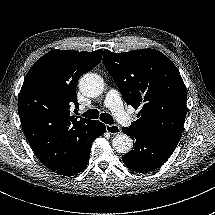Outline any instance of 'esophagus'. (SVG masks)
I'll return each mask as SVG.
<instances>
[{
  "label": "esophagus",
  "instance_id": "34e87169",
  "mask_svg": "<svg viewBox=\"0 0 215 215\" xmlns=\"http://www.w3.org/2000/svg\"><path fill=\"white\" fill-rule=\"evenodd\" d=\"M106 131L112 135L120 134L122 132L121 128L116 124H106Z\"/></svg>",
  "mask_w": 215,
  "mask_h": 215
}]
</instances>
